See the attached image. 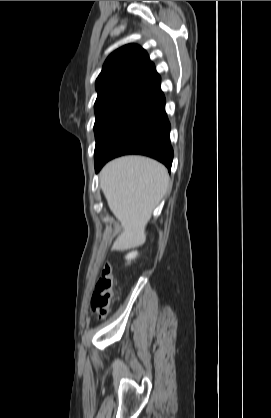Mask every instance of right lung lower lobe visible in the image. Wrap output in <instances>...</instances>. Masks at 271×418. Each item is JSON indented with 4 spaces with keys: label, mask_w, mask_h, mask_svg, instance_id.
<instances>
[{
    "label": "right lung lower lobe",
    "mask_w": 271,
    "mask_h": 418,
    "mask_svg": "<svg viewBox=\"0 0 271 418\" xmlns=\"http://www.w3.org/2000/svg\"><path fill=\"white\" fill-rule=\"evenodd\" d=\"M165 100L122 129L95 158L98 172L109 160L125 154H141L162 162L170 171L173 150L170 144V123L165 113Z\"/></svg>",
    "instance_id": "98d812e1"
}]
</instances>
